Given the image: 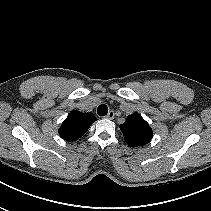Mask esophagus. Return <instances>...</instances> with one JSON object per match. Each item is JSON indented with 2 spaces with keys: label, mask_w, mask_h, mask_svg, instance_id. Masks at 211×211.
Masks as SVG:
<instances>
[{
  "label": "esophagus",
  "mask_w": 211,
  "mask_h": 211,
  "mask_svg": "<svg viewBox=\"0 0 211 211\" xmlns=\"http://www.w3.org/2000/svg\"><path fill=\"white\" fill-rule=\"evenodd\" d=\"M114 117H115L114 111H109V113L106 115L105 118H107V119H114Z\"/></svg>",
  "instance_id": "esophagus-1"
}]
</instances>
